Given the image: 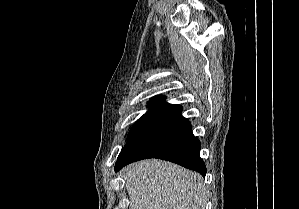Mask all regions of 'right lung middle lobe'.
Instances as JSON below:
<instances>
[{"instance_id": "1", "label": "right lung middle lobe", "mask_w": 299, "mask_h": 209, "mask_svg": "<svg viewBox=\"0 0 299 209\" xmlns=\"http://www.w3.org/2000/svg\"><path fill=\"white\" fill-rule=\"evenodd\" d=\"M147 107L149 108V110L137 120V122L133 125V127L129 131V134L127 136L128 141L142 128V126L151 117V115L153 114V112L156 110L158 106L148 104Z\"/></svg>"}]
</instances>
